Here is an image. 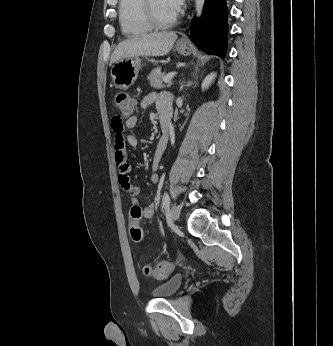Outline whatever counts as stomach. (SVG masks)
<instances>
[{
    "instance_id": "0dacf381",
    "label": "stomach",
    "mask_w": 333,
    "mask_h": 346,
    "mask_svg": "<svg viewBox=\"0 0 333 346\" xmlns=\"http://www.w3.org/2000/svg\"><path fill=\"white\" fill-rule=\"evenodd\" d=\"M176 49L182 55L190 52L187 43L177 42ZM141 67V59L139 57L122 58L114 62L111 68V78L114 85L122 90L130 88L138 77Z\"/></svg>"
}]
</instances>
